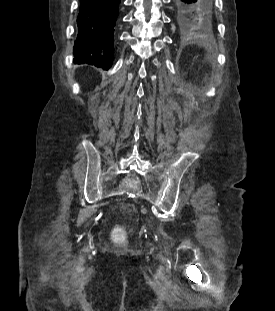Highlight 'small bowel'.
<instances>
[{"mask_svg":"<svg viewBox=\"0 0 275 311\" xmlns=\"http://www.w3.org/2000/svg\"><path fill=\"white\" fill-rule=\"evenodd\" d=\"M199 85L200 87H211L212 81L211 80H200Z\"/></svg>","mask_w":275,"mask_h":311,"instance_id":"c3829d8e","label":"small bowel"}]
</instances>
